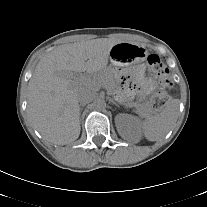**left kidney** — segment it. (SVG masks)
<instances>
[{
    "label": "left kidney",
    "instance_id": "obj_1",
    "mask_svg": "<svg viewBox=\"0 0 207 207\" xmlns=\"http://www.w3.org/2000/svg\"><path fill=\"white\" fill-rule=\"evenodd\" d=\"M120 136L126 140H137L140 137V122L129 114H119L115 118Z\"/></svg>",
    "mask_w": 207,
    "mask_h": 207
}]
</instances>
